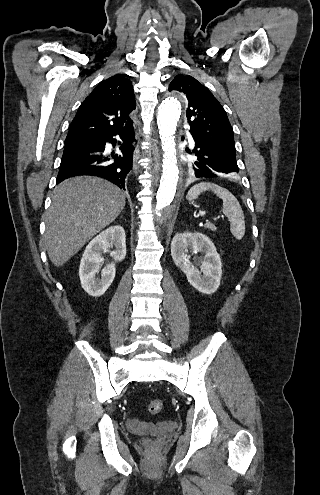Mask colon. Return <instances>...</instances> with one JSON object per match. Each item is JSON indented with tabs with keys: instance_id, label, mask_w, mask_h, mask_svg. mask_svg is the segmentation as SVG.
<instances>
[{
	"instance_id": "colon-1",
	"label": "colon",
	"mask_w": 320,
	"mask_h": 495,
	"mask_svg": "<svg viewBox=\"0 0 320 495\" xmlns=\"http://www.w3.org/2000/svg\"><path fill=\"white\" fill-rule=\"evenodd\" d=\"M163 407V402L161 399H154L148 403V412L152 415L158 414Z\"/></svg>"
}]
</instances>
